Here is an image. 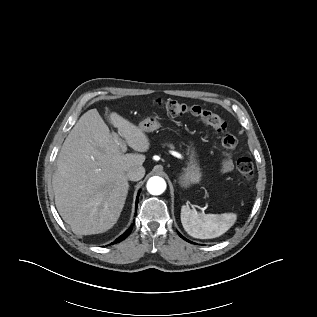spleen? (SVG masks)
<instances>
[{"instance_id": "3e777b00", "label": "spleen", "mask_w": 317, "mask_h": 317, "mask_svg": "<svg viewBox=\"0 0 317 317\" xmlns=\"http://www.w3.org/2000/svg\"><path fill=\"white\" fill-rule=\"evenodd\" d=\"M235 213L205 214L190 209L188 205L181 208V222L184 230L199 239L216 238L227 232L235 223Z\"/></svg>"}]
</instances>
